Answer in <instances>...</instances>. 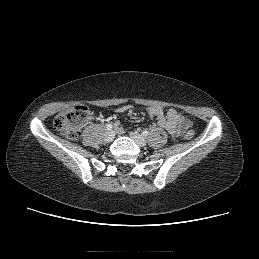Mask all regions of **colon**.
Returning <instances> with one entry per match:
<instances>
[{
    "instance_id": "5ec220e1",
    "label": "colon",
    "mask_w": 259,
    "mask_h": 259,
    "mask_svg": "<svg viewBox=\"0 0 259 259\" xmlns=\"http://www.w3.org/2000/svg\"><path fill=\"white\" fill-rule=\"evenodd\" d=\"M90 109L86 105H78L60 112L54 119V127L70 140L80 137L83 124L89 118ZM184 137L188 140L194 137V131L188 130Z\"/></svg>"
}]
</instances>
